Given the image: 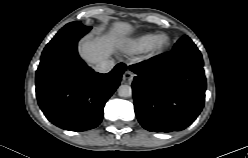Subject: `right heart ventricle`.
<instances>
[{
  "label": "right heart ventricle",
  "instance_id": "e07e8e85",
  "mask_svg": "<svg viewBox=\"0 0 248 158\" xmlns=\"http://www.w3.org/2000/svg\"><path fill=\"white\" fill-rule=\"evenodd\" d=\"M154 36L152 33L136 36L127 41L125 49L130 53L146 51Z\"/></svg>",
  "mask_w": 248,
  "mask_h": 158
}]
</instances>
